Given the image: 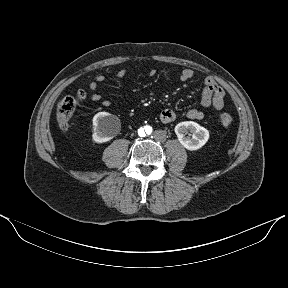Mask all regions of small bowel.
I'll use <instances>...</instances> for the list:
<instances>
[{
  "instance_id": "1",
  "label": "small bowel",
  "mask_w": 288,
  "mask_h": 288,
  "mask_svg": "<svg viewBox=\"0 0 288 288\" xmlns=\"http://www.w3.org/2000/svg\"><path fill=\"white\" fill-rule=\"evenodd\" d=\"M153 73V71L151 72ZM127 74V71L122 69L116 74L118 79H123ZM194 76V72L189 68H183L180 70V80L183 82L189 81ZM105 76L98 75L95 81L90 83V89L94 91L90 98L93 101H101L104 107H110L111 102L108 100H103L102 96L95 92L99 84L105 81ZM225 92L219 86V84L211 77H207L204 81V88L202 91L201 101L198 106L189 108L180 114L172 109H165L160 113V121L162 123H171L176 120L179 116L190 119V120H200L204 116V111L210 107L216 110H220L224 105Z\"/></svg>"
}]
</instances>
